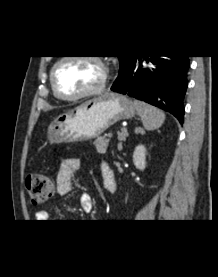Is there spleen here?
Segmentation results:
<instances>
[{
  "label": "spleen",
  "instance_id": "spleen-1",
  "mask_svg": "<svg viewBox=\"0 0 218 277\" xmlns=\"http://www.w3.org/2000/svg\"><path fill=\"white\" fill-rule=\"evenodd\" d=\"M134 106L146 130L157 129L165 121L164 112L156 107L139 100H134Z\"/></svg>",
  "mask_w": 218,
  "mask_h": 277
}]
</instances>
